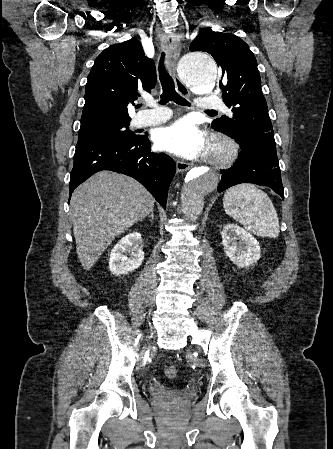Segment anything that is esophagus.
I'll list each match as a JSON object with an SVG mask.
<instances>
[{"instance_id": "34e87169", "label": "esophagus", "mask_w": 333, "mask_h": 449, "mask_svg": "<svg viewBox=\"0 0 333 449\" xmlns=\"http://www.w3.org/2000/svg\"><path fill=\"white\" fill-rule=\"evenodd\" d=\"M164 49L167 53V67L174 77L175 84L179 92L183 95H188L189 91L187 87L181 82V80L178 78L176 74V63L179 58L180 54V47L177 42L176 37L171 35H165L164 37ZM190 163L183 162V161H177L176 167L178 172H184L190 168Z\"/></svg>"}]
</instances>
